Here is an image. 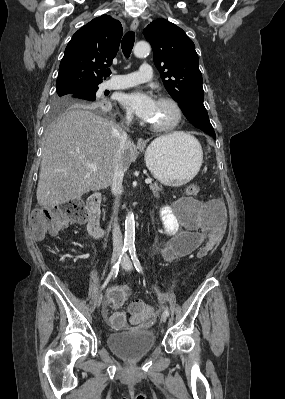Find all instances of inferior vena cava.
<instances>
[{"mask_svg": "<svg viewBox=\"0 0 285 399\" xmlns=\"http://www.w3.org/2000/svg\"><path fill=\"white\" fill-rule=\"evenodd\" d=\"M126 121L127 123H130L132 121V118L130 115L126 116ZM128 137L127 133L122 131L120 135V142H119V149L116 155V161H115V168H114V173H113V180L111 184V192L115 197L114 200V212L112 219L114 221L113 223V250L115 252H120L123 247V241H122V235L120 231V226L118 224V208L120 205V198L122 194V182H123V177H124V167H123V153L126 147Z\"/></svg>", "mask_w": 285, "mask_h": 399, "instance_id": "inferior-vena-cava-1", "label": "inferior vena cava"}]
</instances>
